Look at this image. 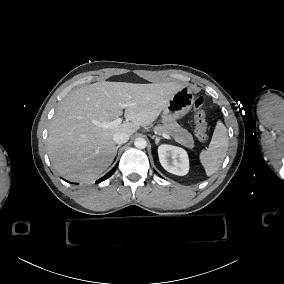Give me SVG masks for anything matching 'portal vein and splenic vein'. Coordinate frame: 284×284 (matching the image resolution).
<instances>
[{
    "mask_svg": "<svg viewBox=\"0 0 284 284\" xmlns=\"http://www.w3.org/2000/svg\"><path fill=\"white\" fill-rule=\"evenodd\" d=\"M129 106V103L127 102H124L121 104V107L123 109H127ZM89 121L92 123V124H95L96 126H99V127H102V128H109V127H115V126H118L119 124L122 123V120L123 118L122 117H118L116 118L115 120L111 121V122H106V121H97L93 118H88ZM163 137L168 139V140H172V137L167 135V134H163Z\"/></svg>",
    "mask_w": 284,
    "mask_h": 284,
    "instance_id": "1",
    "label": "portal vein and splenic vein"
}]
</instances>
